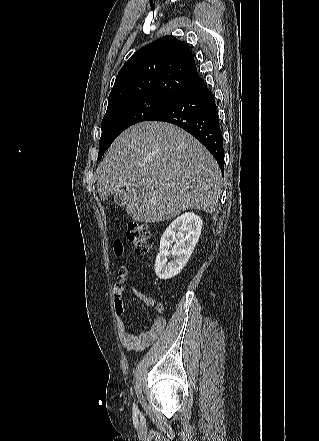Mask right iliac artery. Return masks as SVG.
Returning a JSON list of instances; mask_svg holds the SVG:
<instances>
[{
	"label": "right iliac artery",
	"mask_w": 319,
	"mask_h": 441,
	"mask_svg": "<svg viewBox=\"0 0 319 441\" xmlns=\"http://www.w3.org/2000/svg\"><path fill=\"white\" fill-rule=\"evenodd\" d=\"M138 408H137V406L135 405V404H133V415L135 416V417H137V414H138Z\"/></svg>",
	"instance_id": "82829eb1"
}]
</instances>
